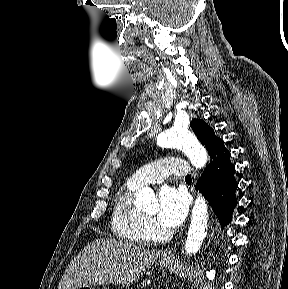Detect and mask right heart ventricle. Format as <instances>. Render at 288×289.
<instances>
[{
	"mask_svg": "<svg viewBox=\"0 0 288 289\" xmlns=\"http://www.w3.org/2000/svg\"><path fill=\"white\" fill-rule=\"evenodd\" d=\"M138 188L128 182L116 193L111 226L120 239L143 244L148 238L144 232L145 216L134 204V193Z\"/></svg>",
	"mask_w": 288,
	"mask_h": 289,
	"instance_id": "e07e8e85",
	"label": "right heart ventricle"
}]
</instances>
